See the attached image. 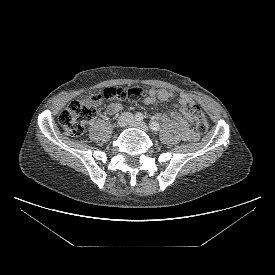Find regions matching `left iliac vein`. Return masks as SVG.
<instances>
[{
  "instance_id": "left-iliac-vein-1",
  "label": "left iliac vein",
  "mask_w": 275,
  "mask_h": 275,
  "mask_svg": "<svg viewBox=\"0 0 275 275\" xmlns=\"http://www.w3.org/2000/svg\"><path fill=\"white\" fill-rule=\"evenodd\" d=\"M132 127L139 128L145 132L149 131V127L144 122L132 121L130 124Z\"/></svg>"
}]
</instances>
